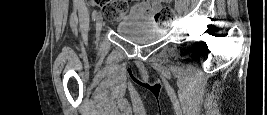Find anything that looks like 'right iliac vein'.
Segmentation results:
<instances>
[{"mask_svg": "<svg viewBox=\"0 0 267 115\" xmlns=\"http://www.w3.org/2000/svg\"><path fill=\"white\" fill-rule=\"evenodd\" d=\"M102 19H101V17L99 16L98 18H97V21H96V35L98 36L99 34H100V32H101V30H102Z\"/></svg>", "mask_w": 267, "mask_h": 115, "instance_id": "1", "label": "right iliac vein"}]
</instances>
